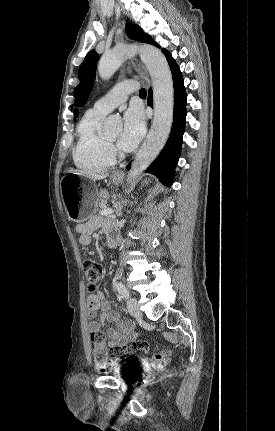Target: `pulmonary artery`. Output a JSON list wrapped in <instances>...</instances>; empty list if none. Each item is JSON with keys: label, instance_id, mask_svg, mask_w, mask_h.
I'll return each instance as SVG.
<instances>
[{"label": "pulmonary artery", "instance_id": "obj_1", "mask_svg": "<svg viewBox=\"0 0 275 431\" xmlns=\"http://www.w3.org/2000/svg\"><path fill=\"white\" fill-rule=\"evenodd\" d=\"M137 89V84L134 81L126 80L117 84L106 95L98 99L94 104V109L102 112L109 113L114 108L124 103L128 95Z\"/></svg>", "mask_w": 275, "mask_h": 431}]
</instances>
